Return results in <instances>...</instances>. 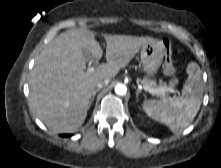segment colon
I'll return each instance as SVG.
<instances>
[{
  "mask_svg": "<svg viewBox=\"0 0 221 168\" xmlns=\"http://www.w3.org/2000/svg\"><path fill=\"white\" fill-rule=\"evenodd\" d=\"M165 44V60H164V72L167 76L170 77V84L173 89L179 88L178 78L176 68L172 60V46L169 40L164 41Z\"/></svg>",
  "mask_w": 221,
  "mask_h": 168,
  "instance_id": "5ec220e1",
  "label": "colon"
}]
</instances>
